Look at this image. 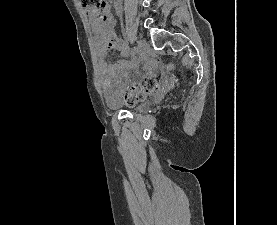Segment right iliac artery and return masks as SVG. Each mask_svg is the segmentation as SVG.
<instances>
[{
    "label": "right iliac artery",
    "instance_id": "obj_1",
    "mask_svg": "<svg viewBox=\"0 0 277 225\" xmlns=\"http://www.w3.org/2000/svg\"><path fill=\"white\" fill-rule=\"evenodd\" d=\"M131 52L133 53V55H136L138 53V47H132Z\"/></svg>",
    "mask_w": 277,
    "mask_h": 225
}]
</instances>
